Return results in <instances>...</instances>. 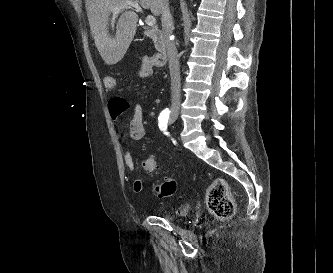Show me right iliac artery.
Segmentation results:
<instances>
[{
  "label": "right iliac artery",
  "mask_w": 333,
  "mask_h": 273,
  "mask_svg": "<svg viewBox=\"0 0 333 273\" xmlns=\"http://www.w3.org/2000/svg\"><path fill=\"white\" fill-rule=\"evenodd\" d=\"M169 116H170V110L166 108L160 113L158 117V126L160 130L163 131L164 134L166 135H168V132L166 130H167Z\"/></svg>",
  "instance_id": "82829eb1"
}]
</instances>
